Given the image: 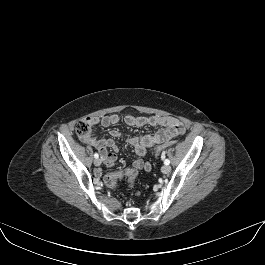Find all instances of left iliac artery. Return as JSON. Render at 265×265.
I'll return each instance as SVG.
<instances>
[{"mask_svg":"<svg viewBox=\"0 0 265 265\" xmlns=\"http://www.w3.org/2000/svg\"><path fill=\"white\" fill-rule=\"evenodd\" d=\"M164 164L165 165H169L170 164V160L169 159H165Z\"/></svg>","mask_w":265,"mask_h":265,"instance_id":"44dca946","label":"left iliac artery"}]
</instances>
